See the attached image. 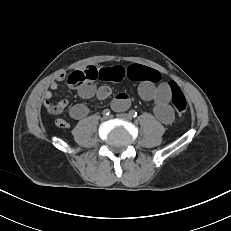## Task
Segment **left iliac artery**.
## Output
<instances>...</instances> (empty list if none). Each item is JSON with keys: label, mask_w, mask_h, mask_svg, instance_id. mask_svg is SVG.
Here are the masks:
<instances>
[{"label": "left iliac artery", "mask_w": 231, "mask_h": 231, "mask_svg": "<svg viewBox=\"0 0 231 231\" xmlns=\"http://www.w3.org/2000/svg\"><path fill=\"white\" fill-rule=\"evenodd\" d=\"M129 114L131 117H134V118L137 117V112L135 110H130Z\"/></svg>", "instance_id": "44dca946"}]
</instances>
